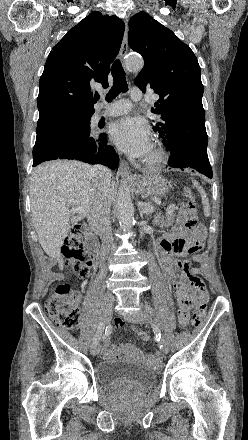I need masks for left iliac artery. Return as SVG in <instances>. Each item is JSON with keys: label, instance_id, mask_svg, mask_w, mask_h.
<instances>
[{"label": "left iliac artery", "instance_id": "1", "mask_svg": "<svg viewBox=\"0 0 248 440\" xmlns=\"http://www.w3.org/2000/svg\"><path fill=\"white\" fill-rule=\"evenodd\" d=\"M154 329H155V331L158 333L159 332V329H158V327L157 326H154ZM158 335H159V342H160V348H162L163 347V341H164V339L161 337V334H160V332L158 333Z\"/></svg>", "mask_w": 248, "mask_h": 440}]
</instances>
